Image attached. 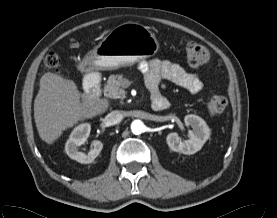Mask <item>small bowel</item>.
I'll return each mask as SVG.
<instances>
[{"mask_svg": "<svg viewBox=\"0 0 277 218\" xmlns=\"http://www.w3.org/2000/svg\"><path fill=\"white\" fill-rule=\"evenodd\" d=\"M139 67L145 76V84L151 95L152 107L156 111H162L157 110L158 98L165 99L159 91L161 79L168 80L192 94H198L203 90V83L197 74L187 72L182 66L169 60L153 59L140 63Z\"/></svg>", "mask_w": 277, "mask_h": 218, "instance_id": "1", "label": "small bowel"}]
</instances>
